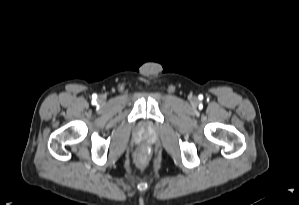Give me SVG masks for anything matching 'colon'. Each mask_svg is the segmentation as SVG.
Here are the masks:
<instances>
[{"instance_id": "obj_1", "label": "colon", "mask_w": 299, "mask_h": 205, "mask_svg": "<svg viewBox=\"0 0 299 205\" xmlns=\"http://www.w3.org/2000/svg\"><path fill=\"white\" fill-rule=\"evenodd\" d=\"M134 161L136 166L140 169V170H144L148 164L149 161V155L148 152L145 150H139L136 152L135 157H134Z\"/></svg>"}]
</instances>
